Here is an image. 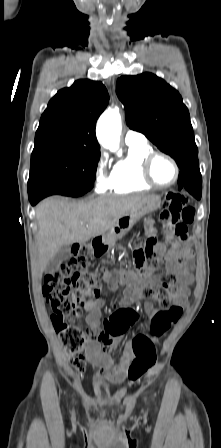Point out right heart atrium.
Wrapping results in <instances>:
<instances>
[{"label": "right heart atrium", "instance_id": "d8ad5b80", "mask_svg": "<svg viewBox=\"0 0 221 448\" xmlns=\"http://www.w3.org/2000/svg\"><path fill=\"white\" fill-rule=\"evenodd\" d=\"M108 158L101 154L97 160L95 168V185L100 192L106 191L110 185L111 174L107 172Z\"/></svg>", "mask_w": 221, "mask_h": 448}]
</instances>
